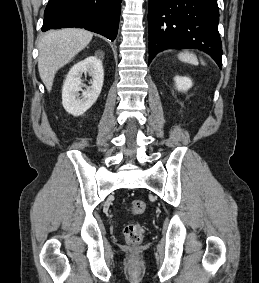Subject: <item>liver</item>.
<instances>
[{
  "instance_id": "1",
  "label": "liver",
  "mask_w": 259,
  "mask_h": 283,
  "mask_svg": "<svg viewBox=\"0 0 259 283\" xmlns=\"http://www.w3.org/2000/svg\"><path fill=\"white\" fill-rule=\"evenodd\" d=\"M92 37L90 31L78 28L49 31L42 37L38 47V70L48 92L57 71L83 50Z\"/></svg>"
}]
</instances>
